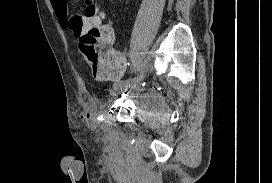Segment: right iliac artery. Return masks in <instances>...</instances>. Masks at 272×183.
Returning <instances> with one entry per match:
<instances>
[{"label": "right iliac artery", "instance_id": "82829eb1", "mask_svg": "<svg viewBox=\"0 0 272 183\" xmlns=\"http://www.w3.org/2000/svg\"><path fill=\"white\" fill-rule=\"evenodd\" d=\"M135 78L133 79H129V80H134ZM129 80H125V81H121L120 79L116 80V82L114 83V87L116 88L117 86H119L122 82H128Z\"/></svg>", "mask_w": 272, "mask_h": 183}]
</instances>
